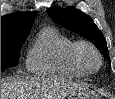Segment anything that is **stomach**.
<instances>
[{
    "label": "stomach",
    "mask_w": 115,
    "mask_h": 99,
    "mask_svg": "<svg viewBox=\"0 0 115 99\" xmlns=\"http://www.w3.org/2000/svg\"><path fill=\"white\" fill-rule=\"evenodd\" d=\"M67 99H99L98 95L87 87L71 92Z\"/></svg>",
    "instance_id": "obj_1"
}]
</instances>
